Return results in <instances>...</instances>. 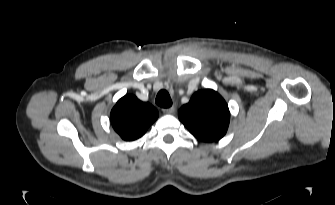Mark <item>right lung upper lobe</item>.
<instances>
[{"mask_svg":"<svg viewBox=\"0 0 335 205\" xmlns=\"http://www.w3.org/2000/svg\"><path fill=\"white\" fill-rule=\"evenodd\" d=\"M158 115L151 104L140 101L134 95H125L112 109L110 120L122 139L132 141L144 135Z\"/></svg>","mask_w":335,"mask_h":205,"instance_id":"1","label":"right lung upper lobe"}]
</instances>
